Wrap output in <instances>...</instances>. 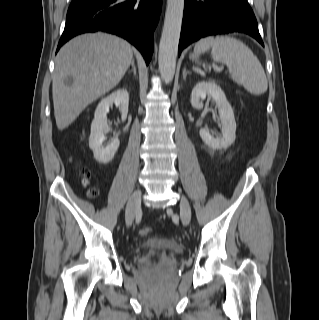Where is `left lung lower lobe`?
Listing matches in <instances>:
<instances>
[{
    "label": "left lung lower lobe",
    "instance_id": "left-lung-lower-lobe-1",
    "mask_svg": "<svg viewBox=\"0 0 319 320\" xmlns=\"http://www.w3.org/2000/svg\"><path fill=\"white\" fill-rule=\"evenodd\" d=\"M231 32L248 34L264 46L246 0H185L178 54L202 37Z\"/></svg>",
    "mask_w": 319,
    "mask_h": 320
}]
</instances>
